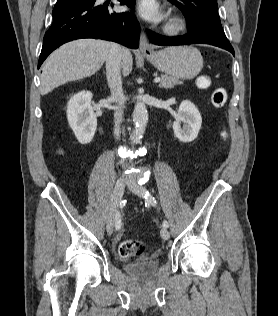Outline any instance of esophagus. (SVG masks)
Segmentation results:
<instances>
[{"label": "esophagus", "instance_id": "esophagus-1", "mask_svg": "<svg viewBox=\"0 0 278 316\" xmlns=\"http://www.w3.org/2000/svg\"><path fill=\"white\" fill-rule=\"evenodd\" d=\"M139 50L143 55H150L153 53V49L150 46L147 36L143 29L141 30V33H140Z\"/></svg>", "mask_w": 278, "mask_h": 316}]
</instances>
